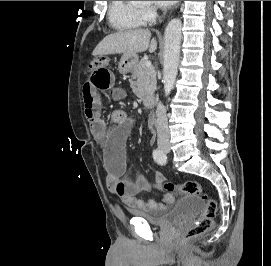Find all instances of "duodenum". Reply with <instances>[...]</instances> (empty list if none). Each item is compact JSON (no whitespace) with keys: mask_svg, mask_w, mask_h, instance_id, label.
<instances>
[{"mask_svg":"<svg viewBox=\"0 0 271 266\" xmlns=\"http://www.w3.org/2000/svg\"><path fill=\"white\" fill-rule=\"evenodd\" d=\"M146 102H147V104H149V105H154V103H155V98L152 97V96H148V97H146Z\"/></svg>","mask_w":271,"mask_h":266,"instance_id":"1","label":"duodenum"}]
</instances>
